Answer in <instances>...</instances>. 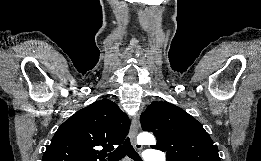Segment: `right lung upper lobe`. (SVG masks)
I'll use <instances>...</instances> for the list:
<instances>
[{
	"mask_svg": "<svg viewBox=\"0 0 261 161\" xmlns=\"http://www.w3.org/2000/svg\"><path fill=\"white\" fill-rule=\"evenodd\" d=\"M129 126V118L116 103L96 101L60 125L43 161H105L106 152L121 144Z\"/></svg>",
	"mask_w": 261,
	"mask_h": 161,
	"instance_id": "obj_1",
	"label": "right lung upper lobe"
}]
</instances>
